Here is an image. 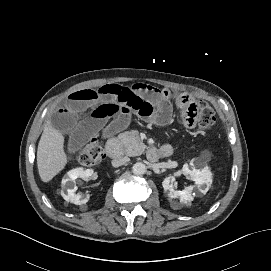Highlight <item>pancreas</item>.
<instances>
[{"mask_svg":"<svg viewBox=\"0 0 271 271\" xmlns=\"http://www.w3.org/2000/svg\"><path fill=\"white\" fill-rule=\"evenodd\" d=\"M119 140L123 145V153L127 156L141 155L146 148L136 131H126L119 135Z\"/></svg>","mask_w":271,"mask_h":271,"instance_id":"pancreas-1","label":"pancreas"}]
</instances>
